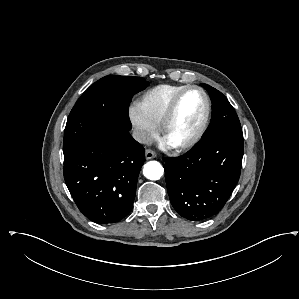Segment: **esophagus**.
I'll return each instance as SVG.
<instances>
[{"label":"esophagus","mask_w":299,"mask_h":299,"mask_svg":"<svg viewBox=\"0 0 299 299\" xmlns=\"http://www.w3.org/2000/svg\"><path fill=\"white\" fill-rule=\"evenodd\" d=\"M156 157V153L154 152V151H152V150H150V149H147L146 151H145V158L147 159V160H149V159H153V158H155Z\"/></svg>","instance_id":"obj_1"}]
</instances>
